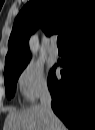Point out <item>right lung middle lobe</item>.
<instances>
[{
	"label": "right lung middle lobe",
	"mask_w": 95,
	"mask_h": 130,
	"mask_svg": "<svg viewBox=\"0 0 95 130\" xmlns=\"http://www.w3.org/2000/svg\"><path fill=\"white\" fill-rule=\"evenodd\" d=\"M25 67L26 65H23L17 68L4 70L5 89L8 99L14 96V92L16 89V82L18 80L19 75L21 74V72Z\"/></svg>",
	"instance_id": "obj_1"
}]
</instances>
